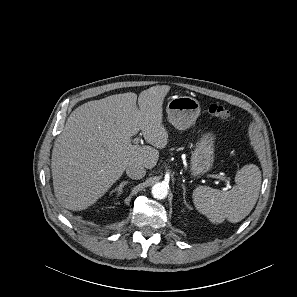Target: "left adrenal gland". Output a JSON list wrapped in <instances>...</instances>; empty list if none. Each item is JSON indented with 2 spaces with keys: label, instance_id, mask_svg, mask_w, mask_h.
Returning <instances> with one entry per match:
<instances>
[{
  "label": "left adrenal gland",
  "instance_id": "obj_1",
  "mask_svg": "<svg viewBox=\"0 0 297 297\" xmlns=\"http://www.w3.org/2000/svg\"><path fill=\"white\" fill-rule=\"evenodd\" d=\"M182 188H183V202L186 205V207L189 208V205H188V203L186 201V198H185V196H186V188H185L184 184H182Z\"/></svg>",
  "mask_w": 297,
  "mask_h": 297
}]
</instances>
